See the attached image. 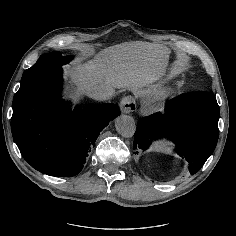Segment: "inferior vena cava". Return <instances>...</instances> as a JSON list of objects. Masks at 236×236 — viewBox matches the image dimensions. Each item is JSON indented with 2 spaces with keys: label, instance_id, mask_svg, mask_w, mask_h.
<instances>
[{
  "label": "inferior vena cava",
  "instance_id": "obj_1",
  "mask_svg": "<svg viewBox=\"0 0 236 236\" xmlns=\"http://www.w3.org/2000/svg\"><path fill=\"white\" fill-rule=\"evenodd\" d=\"M113 94L114 89L105 85H97L89 92V96L95 100H108Z\"/></svg>",
  "mask_w": 236,
  "mask_h": 236
}]
</instances>
